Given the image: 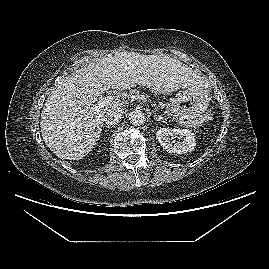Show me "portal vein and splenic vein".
Here are the masks:
<instances>
[{"label":"portal vein and splenic vein","mask_w":269,"mask_h":269,"mask_svg":"<svg viewBox=\"0 0 269 269\" xmlns=\"http://www.w3.org/2000/svg\"><path fill=\"white\" fill-rule=\"evenodd\" d=\"M116 96H104L101 97V99L99 100V102L92 107V110L94 112H98L100 109L106 107L107 105H109L115 98Z\"/></svg>","instance_id":"18ae733b"}]
</instances>
